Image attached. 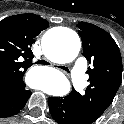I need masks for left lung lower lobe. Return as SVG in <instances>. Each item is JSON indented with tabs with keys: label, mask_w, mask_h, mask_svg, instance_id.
<instances>
[{
	"label": "left lung lower lobe",
	"mask_w": 124,
	"mask_h": 124,
	"mask_svg": "<svg viewBox=\"0 0 124 124\" xmlns=\"http://www.w3.org/2000/svg\"><path fill=\"white\" fill-rule=\"evenodd\" d=\"M73 91L65 97H50L48 99L50 113L59 124H84L78 114Z\"/></svg>",
	"instance_id": "obj_1"
}]
</instances>
